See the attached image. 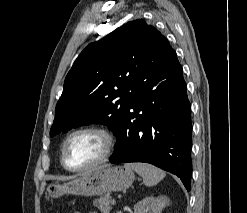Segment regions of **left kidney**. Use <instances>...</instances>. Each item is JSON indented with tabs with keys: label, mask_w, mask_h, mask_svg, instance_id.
<instances>
[{
	"label": "left kidney",
	"mask_w": 247,
	"mask_h": 213,
	"mask_svg": "<svg viewBox=\"0 0 247 213\" xmlns=\"http://www.w3.org/2000/svg\"><path fill=\"white\" fill-rule=\"evenodd\" d=\"M161 198L146 197L134 206V213H161Z\"/></svg>",
	"instance_id": "5707ae66"
}]
</instances>
